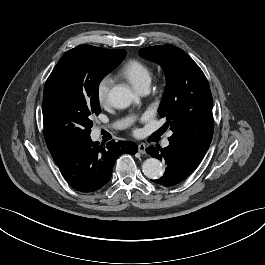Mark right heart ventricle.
<instances>
[{
    "instance_id": "1",
    "label": "right heart ventricle",
    "mask_w": 265,
    "mask_h": 265,
    "mask_svg": "<svg viewBox=\"0 0 265 265\" xmlns=\"http://www.w3.org/2000/svg\"><path fill=\"white\" fill-rule=\"evenodd\" d=\"M120 75L128 80L135 89H148L152 80V70L144 62L131 59L120 70Z\"/></svg>"
}]
</instances>
